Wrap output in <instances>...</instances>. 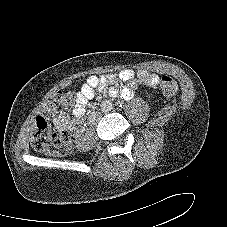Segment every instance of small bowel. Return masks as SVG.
I'll return each mask as SVG.
<instances>
[{
    "label": "small bowel",
    "mask_w": 227,
    "mask_h": 227,
    "mask_svg": "<svg viewBox=\"0 0 227 227\" xmlns=\"http://www.w3.org/2000/svg\"><path fill=\"white\" fill-rule=\"evenodd\" d=\"M118 80L128 84L121 89L113 87L112 85ZM158 81L159 76L157 74L143 69L137 73L131 69H124L118 73L90 75L76 93L75 104L72 109L73 117L67 113H61L53 120V124L61 133L77 131L85 114L87 103L94 98L96 89L108 88L111 97L121 96L124 99H130L133 96L134 89L139 85L155 86Z\"/></svg>",
    "instance_id": "obj_1"
}]
</instances>
